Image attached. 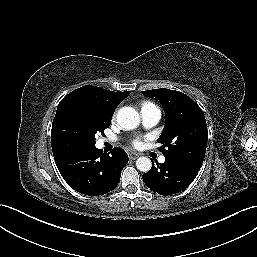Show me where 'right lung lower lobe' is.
<instances>
[{
	"mask_svg": "<svg viewBox=\"0 0 257 257\" xmlns=\"http://www.w3.org/2000/svg\"><path fill=\"white\" fill-rule=\"evenodd\" d=\"M54 155L63 179L76 191L85 195H103L118 184L127 153L114 148L109 154L94 147H78Z\"/></svg>",
	"mask_w": 257,
	"mask_h": 257,
	"instance_id": "right-lung-lower-lobe-1",
	"label": "right lung lower lobe"
}]
</instances>
